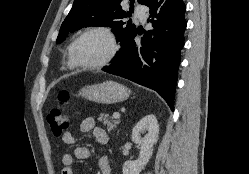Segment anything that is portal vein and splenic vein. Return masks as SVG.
Here are the masks:
<instances>
[{
	"label": "portal vein and splenic vein",
	"instance_id": "obj_1",
	"mask_svg": "<svg viewBox=\"0 0 249 174\" xmlns=\"http://www.w3.org/2000/svg\"><path fill=\"white\" fill-rule=\"evenodd\" d=\"M113 118L114 119H119L120 118V114L119 113H113Z\"/></svg>",
	"mask_w": 249,
	"mask_h": 174
}]
</instances>
